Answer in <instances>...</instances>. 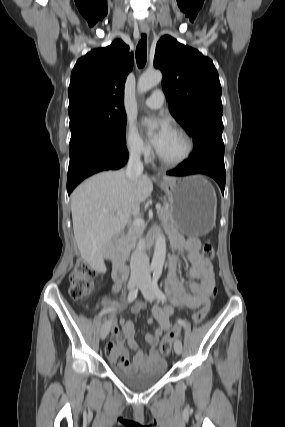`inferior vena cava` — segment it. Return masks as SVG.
<instances>
[{
    "mask_svg": "<svg viewBox=\"0 0 285 427\" xmlns=\"http://www.w3.org/2000/svg\"><path fill=\"white\" fill-rule=\"evenodd\" d=\"M143 173V164L141 162L140 153L137 150H133L130 153L129 161L126 169V176L131 182L137 180V177ZM139 212V206H136L133 214L136 215ZM131 274L132 275H147L149 270V257L145 252V240L142 238L132 253L131 261Z\"/></svg>",
    "mask_w": 285,
    "mask_h": 427,
    "instance_id": "obj_1",
    "label": "inferior vena cava"
}]
</instances>
